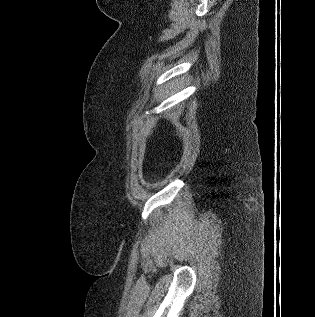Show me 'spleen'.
I'll use <instances>...</instances> for the list:
<instances>
[{
    "instance_id": "spleen-1",
    "label": "spleen",
    "mask_w": 315,
    "mask_h": 317,
    "mask_svg": "<svg viewBox=\"0 0 315 317\" xmlns=\"http://www.w3.org/2000/svg\"><path fill=\"white\" fill-rule=\"evenodd\" d=\"M169 92H170V88H169V86H166L165 90L162 91V95H165V94L168 95Z\"/></svg>"
}]
</instances>
